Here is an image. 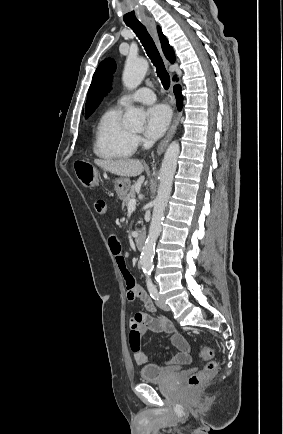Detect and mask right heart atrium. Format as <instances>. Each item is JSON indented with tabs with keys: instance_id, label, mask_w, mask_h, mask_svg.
Here are the masks:
<instances>
[{
	"instance_id": "1",
	"label": "right heart atrium",
	"mask_w": 283,
	"mask_h": 434,
	"mask_svg": "<svg viewBox=\"0 0 283 434\" xmlns=\"http://www.w3.org/2000/svg\"><path fill=\"white\" fill-rule=\"evenodd\" d=\"M134 141H135L136 145H141V144L144 143L143 139L140 136H138V135L134 136Z\"/></svg>"
}]
</instances>
